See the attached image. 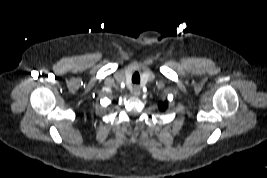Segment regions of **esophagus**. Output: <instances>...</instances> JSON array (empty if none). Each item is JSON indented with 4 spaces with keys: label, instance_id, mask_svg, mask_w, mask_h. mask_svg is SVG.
<instances>
[{
    "label": "esophagus",
    "instance_id": "esophagus-1",
    "mask_svg": "<svg viewBox=\"0 0 267 178\" xmlns=\"http://www.w3.org/2000/svg\"><path fill=\"white\" fill-rule=\"evenodd\" d=\"M132 92H133V94H134L135 96H139V95H140V87L137 86V85H135V86L133 87Z\"/></svg>",
    "mask_w": 267,
    "mask_h": 178
}]
</instances>
